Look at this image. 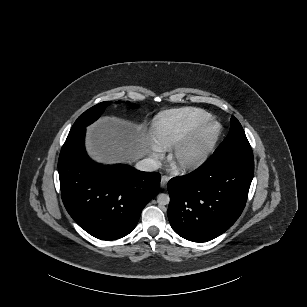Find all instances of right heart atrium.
<instances>
[{"instance_id":"right-heart-atrium-1","label":"right heart atrium","mask_w":307,"mask_h":307,"mask_svg":"<svg viewBox=\"0 0 307 307\" xmlns=\"http://www.w3.org/2000/svg\"><path fill=\"white\" fill-rule=\"evenodd\" d=\"M161 158V154L155 150V149H151L150 150V155H149V159L150 161L154 162V161H157Z\"/></svg>"}]
</instances>
